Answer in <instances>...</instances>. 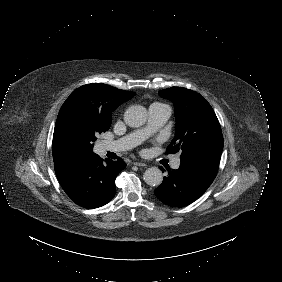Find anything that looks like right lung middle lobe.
<instances>
[{
  "mask_svg": "<svg viewBox=\"0 0 282 282\" xmlns=\"http://www.w3.org/2000/svg\"><path fill=\"white\" fill-rule=\"evenodd\" d=\"M111 115L91 104L72 107L56 123L57 144L68 158L93 154L97 135L110 128Z\"/></svg>",
  "mask_w": 282,
  "mask_h": 282,
  "instance_id": "obj_1",
  "label": "right lung middle lobe"
}]
</instances>
